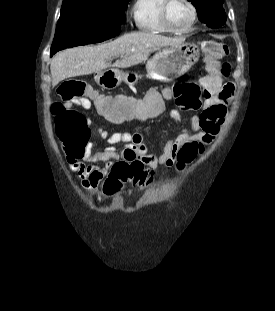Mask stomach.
Here are the masks:
<instances>
[{"label": "stomach", "instance_id": "0dacf381", "mask_svg": "<svg viewBox=\"0 0 275 311\" xmlns=\"http://www.w3.org/2000/svg\"><path fill=\"white\" fill-rule=\"evenodd\" d=\"M200 51L194 43H177L160 48L147 60L146 70L154 80L170 82L186 73L199 59ZM99 76V79H96ZM139 77L135 73H124L118 69H104L95 74V81L103 88H113L122 81L135 85Z\"/></svg>", "mask_w": 275, "mask_h": 311}]
</instances>
